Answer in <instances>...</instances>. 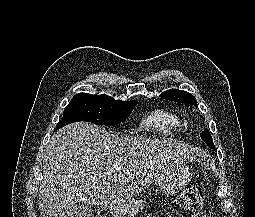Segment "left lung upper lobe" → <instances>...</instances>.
I'll use <instances>...</instances> for the list:
<instances>
[{
    "mask_svg": "<svg viewBox=\"0 0 255 217\" xmlns=\"http://www.w3.org/2000/svg\"><path fill=\"white\" fill-rule=\"evenodd\" d=\"M160 96L171 101H176L179 103H187V104L197 106L196 98L192 94L186 91L170 89L168 91L161 93ZM200 137L207 145H209L212 149H214V143H213L211 134L208 130L203 131L200 134Z\"/></svg>",
    "mask_w": 255,
    "mask_h": 217,
    "instance_id": "left-lung-upper-lobe-1",
    "label": "left lung upper lobe"
}]
</instances>
